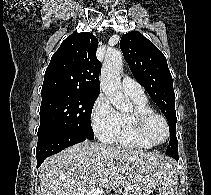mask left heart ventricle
Masks as SVG:
<instances>
[{
    "mask_svg": "<svg viewBox=\"0 0 211 195\" xmlns=\"http://www.w3.org/2000/svg\"><path fill=\"white\" fill-rule=\"evenodd\" d=\"M146 134L152 142H161L166 137L164 123L157 117L149 120L146 126Z\"/></svg>",
    "mask_w": 211,
    "mask_h": 195,
    "instance_id": "left-heart-ventricle-1",
    "label": "left heart ventricle"
}]
</instances>
